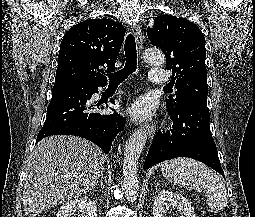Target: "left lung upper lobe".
I'll use <instances>...</instances> for the list:
<instances>
[{"label":"left lung upper lobe","mask_w":255,"mask_h":217,"mask_svg":"<svg viewBox=\"0 0 255 217\" xmlns=\"http://www.w3.org/2000/svg\"><path fill=\"white\" fill-rule=\"evenodd\" d=\"M147 35L164 52L166 67L175 75L176 97L166 100L167 110L178 111L191 103L207 108L205 38L198 26L182 17L160 15Z\"/></svg>","instance_id":"left-lung-upper-lobe-1"}]
</instances>
